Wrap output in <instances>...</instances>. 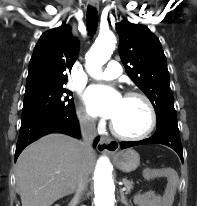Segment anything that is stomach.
Listing matches in <instances>:
<instances>
[{
	"label": "stomach",
	"instance_id": "stomach-1",
	"mask_svg": "<svg viewBox=\"0 0 197 206\" xmlns=\"http://www.w3.org/2000/svg\"><path fill=\"white\" fill-rule=\"evenodd\" d=\"M113 160L117 168L125 173L135 171L140 165V156L133 149L117 152Z\"/></svg>",
	"mask_w": 197,
	"mask_h": 206
}]
</instances>
